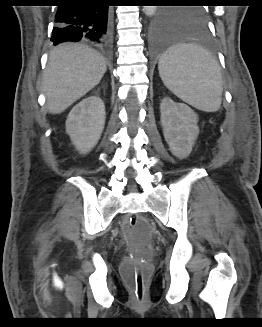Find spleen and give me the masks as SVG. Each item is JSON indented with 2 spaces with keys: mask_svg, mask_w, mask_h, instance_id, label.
<instances>
[{
  "mask_svg": "<svg viewBox=\"0 0 262 327\" xmlns=\"http://www.w3.org/2000/svg\"><path fill=\"white\" fill-rule=\"evenodd\" d=\"M158 70L164 85L184 102L206 112L220 108L223 91L220 66L203 48L175 45L161 56Z\"/></svg>",
  "mask_w": 262,
  "mask_h": 327,
  "instance_id": "3e777b00",
  "label": "spleen"
}]
</instances>
